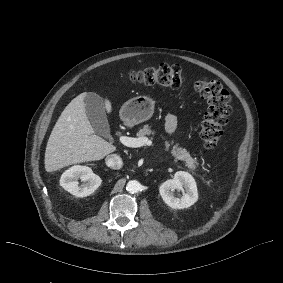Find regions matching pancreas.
<instances>
[{"mask_svg": "<svg viewBox=\"0 0 283 283\" xmlns=\"http://www.w3.org/2000/svg\"><path fill=\"white\" fill-rule=\"evenodd\" d=\"M155 133V129L152 130L150 125H145L139 129L137 136L144 137L150 134L154 135ZM171 145L172 147L170 148ZM179 145L178 142L175 143L174 139L165 143L166 150H170L172 156L176 157L177 160H182L190 171H196L197 162L190 156V153L186 149L180 148Z\"/></svg>", "mask_w": 283, "mask_h": 283, "instance_id": "pancreas-1", "label": "pancreas"}]
</instances>
